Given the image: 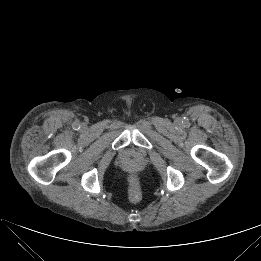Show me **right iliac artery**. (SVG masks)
<instances>
[{"instance_id":"right-iliac-artery-1","label":"right iliac artery","mask_w":261,"mask_h":261,"mask_svg":"<svg viewBox=\"0 0 261 261\" xmlns=\"http://www.w3.org/2000/svg\"><path fill=\"white\" fill-rule=\"evenodd\" d=\"M74 128L77 130L79 129V125L78 124H75Z\"/></svg>"}]
</instances>
